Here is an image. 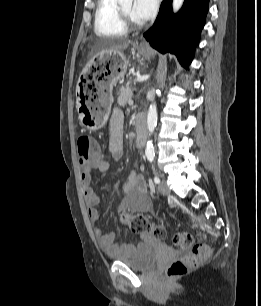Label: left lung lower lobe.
<instances>
[{"mask_svg":"<svg viewBox=\"0 0 261 306\" xmlns=\"http://www.w3.org/2000/svg\"><path fill=\"white\" fill-rule=\"evenodd\" d=\"M209 0H185L174 15L172 0H164L153 26L144 34L150 45L161 53H174L186 68L192 61L205 24Z\"/></svg>","mask_w":261,"mask_h":306,"instance_id":"obj_1","label":"left lung lower lobe"}]
</instances>
